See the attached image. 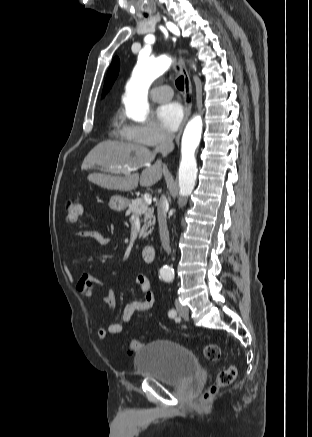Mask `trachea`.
<instances>
[{
  "label": "trachea",
  "mask_w": 312,
  "mask_h": 437,
  "mask_svg": "<svg viewBox=\"0 0 312 437\" xmlns=\"http://www.w3.org/2000/svg\"><path fill=\"white\" fill-rule=\"evenodd\" d=\"M176 86L179 90H183L184 89V77L180 76L177 80H176Z\"/></svg>",
  "instance_id": "obj_1"
}]
</instances>
